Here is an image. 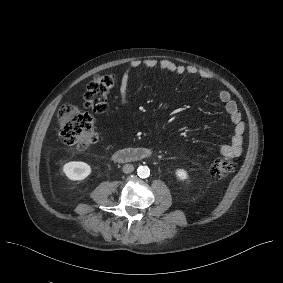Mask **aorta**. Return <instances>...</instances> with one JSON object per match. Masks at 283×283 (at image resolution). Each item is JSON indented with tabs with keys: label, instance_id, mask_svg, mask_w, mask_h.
Here are the masks:
<instances>
[{
	"label": "aorta",
	"instance_id": "obj_1",
	"mask_svg": "<svg viewBox=\"0 0 283 283\" xmlns=\"http://www.w3.org/2000/svg\"><path fill=\"white\" fill-rule=\"evenodd\" d=\"M137 174L140 178H147L150 175V169L147 166H139Z\"/></svg>",
	"mask_w": 283,
	"mask_h": 283
}]
</instances>
